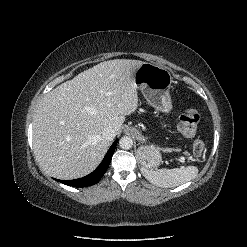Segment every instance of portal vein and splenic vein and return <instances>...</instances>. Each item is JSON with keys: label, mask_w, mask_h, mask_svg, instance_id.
Listing matches in <instances>:
<instances>
[{"label": "portal vein and splenic vein", "mask_w": 247, "mask_h": 247, "mask_svg": "<svg viewBox=\"0 0 247 247\" xmlns=\"http://www.w3.org/2000/svg\"><path fill=\"white\" fill-rule=\"evenodd\" d=\"M179 161H181L182 163H184L185 162V158L184 157H180L179 158Z\"/></svg>", "instance_id": "portal-vein-and-splenic-vein-1"}]
</instances>
